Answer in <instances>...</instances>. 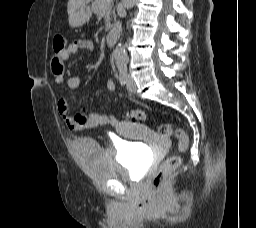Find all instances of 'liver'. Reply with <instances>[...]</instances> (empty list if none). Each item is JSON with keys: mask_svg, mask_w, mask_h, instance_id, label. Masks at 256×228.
Listing matches in <instances>:
<instances>
[{"mask_svg": "<svg viewBox=\"0 0 256 228\" xmlns=\"http://www.w3.org/2000/svg\"><path fill=\"white\" fill-rule=\"evenodd\" d=\"M90 1L91 0H68V4H67L68 15H71L78 8L85 6Z\"/></svg>", "mask_w": 256, "mask_h": 228, "instance_id": "obj_1", "label": "liver"}]
</instances>
